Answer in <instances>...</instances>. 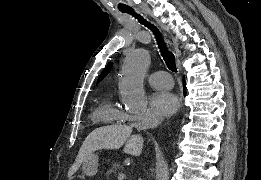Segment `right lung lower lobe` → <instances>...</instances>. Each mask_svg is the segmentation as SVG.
I'll return each instance as SVG.
<instances>
[{"label": "right lung lower lobe", "mask_w": 261, "mask_h": 180, "mask_svg": "<svg viewBox=\"0 0 261 180\" xmlns=\"http://www.w3.org/2000/svg\"><path fill=\"white\" fill-rule=\"evenodd\" d=\"M183 88H184V92H185V81H183Z\"/></svg>", "instance_id": "obj_1"}]
</instances>
